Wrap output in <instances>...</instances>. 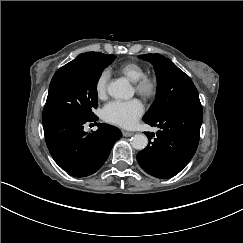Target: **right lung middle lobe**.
Segmentation results:
<instances>
[{"label": "right lung middle lobe", "mask_w": 243, "mask_h": 243, "mask_svg": "<svg viewBox=\"0 0 243 243\" xmlns=\"http://www.w3.org/2000/svg\"><path fill=\"white\" fill-rule=\"evenodd\" d=\"M115 58V55H104L91 63L64 65L58 69L49 86L43 124L65 116L95 118L97 83L103 69Z\"/></svg>", "instance_id": "right-lung-middle-lobe-1"}]
</instances>
